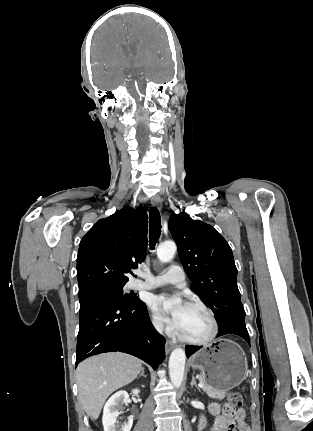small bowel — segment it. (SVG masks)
<instances>
[{
    "mask_svg": "<svg viewBox=\"0 0 313 431\" xmlns=\"http://www.w3.org/2000/svg\"><path fill=\"white\" fill-rule=\"evenodd\" d=\"M211 414L215 417L211 431H234L236 424L239 431H251L246 422V411L242 408L234 411L231 415H225L221 412L218 404H211L209 407ZM205 425V420L201 419L200 428Z\"/></svg>",
    "mask_w": 313,
    "mask_h": 431,
    "instance_id": "c3829d8e",
    "label": "small bowel"
}]
</instances>
